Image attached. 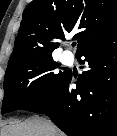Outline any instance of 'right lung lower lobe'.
<instances>
[{"label": "right lung lower lobe", "mask_w": 117, "mask_h": 136, "mask_svg": "<svg viewBox=\"0 0 117 136\" xmlns=\"http://www.w3.org/2000/svg\"><path fill=\"white\" fill-rule=\"evenodd\" d=\"M77 56L85 68L22 109L44 113L68 136H117V29L90 43Z\"/></svg>", "instance_id": "98d812e1"}]
</instances>
